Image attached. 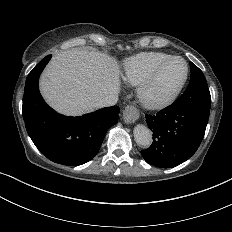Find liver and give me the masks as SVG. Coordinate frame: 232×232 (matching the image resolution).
<instances>
[{
	"label": "liver",
	"instance_id": "liver-1",
	"mask_svg": "<svg viewBox=\"0 0 232 232\" xmlns=\"http://www.w3.org/2000/svg\"><path fill=\"white\" fill-rule=\"evenodd\" d=\"M40 86L45 99L67 114L92 110L95 102L119 88L113 61L81 48L54 55Z\"/></svg>",
	"mask_w": 232,
	"mask_h": 232
}]
</instances>
